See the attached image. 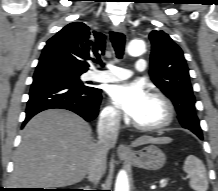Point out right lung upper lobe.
I'll list each match as a JSON object with an SVG mask.
<instances>
[{
  "label": "right lung upper lobe",
  "mask_w": 218,
  "mask_h": 191,
  "mask_svg": "<svg viewBox=\"0 0 218 191\" xmlns=\"http://www.w3.org/2000/svg\"><path fill=\"white\" fill-rule=\"evenodd\" d=\"M104 49L105 36L102 33L91 30L82 22H73L47 41L41 56H54L86 72L88 60L99 57Z\"/></svg>",
  "instance_id": "obj_1"
}]
</instances>
